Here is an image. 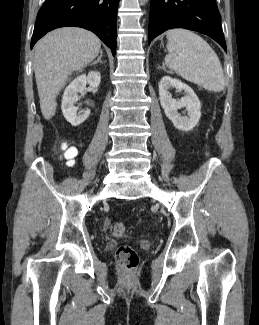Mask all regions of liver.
<instances>
[{"instance_id": "1", "label": "liver", "mask_w": 259, "mask_h": 325, "mask_svg": "<svg viewBox=\"0 0 259 325\" xmlns=\"http://www.w3.org/2000/svg\"><path fill=\"white\" fill-rule=\"evenodd\" d=\"M100 39L90 31L64 27L48 33L35 45L34 72L43 117L55 115L56 97L68 76L81 70L99 54Z\"/></svg>"}]
</instances>
